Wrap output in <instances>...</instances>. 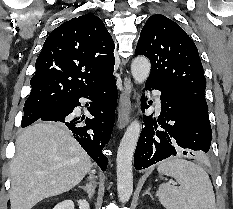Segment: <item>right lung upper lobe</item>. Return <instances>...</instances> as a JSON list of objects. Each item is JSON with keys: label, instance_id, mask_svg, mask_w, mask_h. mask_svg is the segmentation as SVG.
Masks as SVG:
<instances>
[{"label": "right lung upper lobe", "instance_id": "cb5924a9", "mask_svg": "<svg viewBox=\"0 0 233 209\" xmlns=\"http://www.w3.org/2000/svg\"><path fill=\"white\" fill-rule=\"evenodd\" d=\"M114 48L94 14L64 22L44 42L25 103L62 102L100 85L113 76Z\"/></svg>", "mask_w": 233, "mask_h": 209}]
</instances>
